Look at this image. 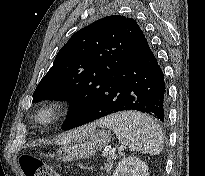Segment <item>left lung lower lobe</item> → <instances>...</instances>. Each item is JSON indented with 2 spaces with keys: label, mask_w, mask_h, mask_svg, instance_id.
<instances>
[{
  "label": "left lung lower lobe",
  "mask_w": 205,
  "mask_h": 176,
  "mask_svg": "<svg viewBox=\"0 0 205 176\" xmlns=\"http://www.w3.org/2000/svg\"><path fill=\"white\" fill-rule=\"evenodd\" d=\"M124 110L148 113L161 122L166 120L164 74L146 38L105 85L74 128Z\"/></svg>",
  "instance_id": "obj_1"
}]
</instances>
